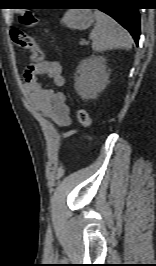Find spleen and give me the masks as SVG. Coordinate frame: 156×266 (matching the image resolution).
Returning a JSON list of instances; mask_svg holds the SVG:
<instances>
[{
	"instance_id": "spleen-1",
	"label": "spleen",
	"mask_w": 156,
	"mask_h": 266,
	"mask_svg": "<svg viewBox=\"0 0 156 266\" xmlns=\"http://www.w3.org/2000/svg\"><path fill=\"white\" fill-rule=\"evenodd\" d=\"M94 16L96 24L89 38L92 40V49L96 53L131 48L132 40L129 33L114 19L99 10L94 11Z\"/></svg>"
}]
</instances>
